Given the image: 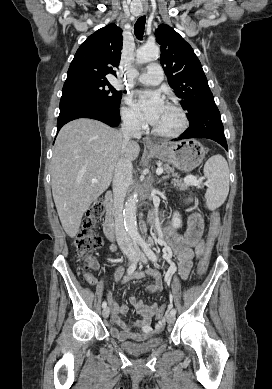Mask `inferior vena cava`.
I'll return each mask as SVG.
<instances>
[{"instance_id":"602c4592","label":"inferior vena cava","mask_w":272,"mask_h":389,"mask_svg":"<svg viewBox=\"0 0 272 389\" xmlns=\"http://www.w3.org/2000/svg\"><path fill=\"white\" fill-rule=\"evenodd\" d=\"M121 132L123 138L121 157L117 162L112 181L114 228L120 249L124 253H131L134 251V247L123 225L122 209L127 188L132 181L133 166L131 160L124 155V152L131 138H141L140 123L132 116L124 117Z\"/></svg>"}]
</instances>
